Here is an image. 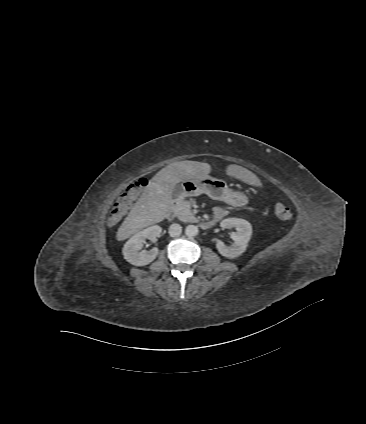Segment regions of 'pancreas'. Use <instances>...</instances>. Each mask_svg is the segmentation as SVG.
<instances>
[{"label":"pancreas","instance_id":"1","mask_svg":"<svg viewBox=\"0 0 366 424\" xmlns=\"http://www.w3.org/2000/svg\"><path fill=\"white\" fill-rule=\"evenodd\" d=\"M192 200H179L176 203L178 218L183 222H197V219L194 217L191 206Z\"/></svg>","mask_w":366,"mask_h":424}]
</instances>
